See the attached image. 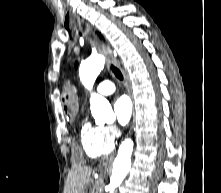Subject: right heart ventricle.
Returning <instances> with one entry per match:
<instances>
[{
  "mask_svg": "<svg viewBox=\"0 0 221 193\" xmlns=\"http://www.w3.org/2000/svg\"><path fill=\"white\" fill-rule=\"evenodd\" d=\"M80 142L87 156L97 158L112 152L113 141H109L104 133V126L92 123L88 118L82 122Z\"/></svg>",
  "mask_w": 221,
  "mask_h": 193,
  "instance_id": "obj_1",
  "label": "right heart ventricle"
}]
</instances>
